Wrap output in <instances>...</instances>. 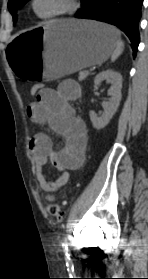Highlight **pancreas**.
<instances>
[{
    "instance_id": "pancreas-1",
    "label": "pancreas",
    "mask_w": 148,
    "mask_h": 279,
    "mask_svg": "<svg viewBox=\"0 0 148 279\" xmlns=\"http://www.w3.org/2000/svg\"><path fill=\"white\" fill-rule=\"evenodd\" d=\"M82 73H83V72H80V73H79V81H83V80L85 79V77H84V78L82 77Z\"/></svg>"
}]
</instances>
